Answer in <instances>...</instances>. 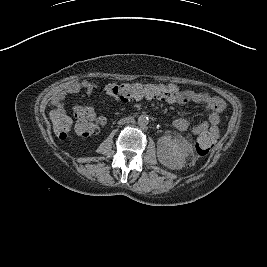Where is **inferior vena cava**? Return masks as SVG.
Instances as JSON below:
<instances>
[{
    "label": "inferior vena cava",
    "mask_w": 267,
    "mask_h": 267,
    "mask_svg": "<svg viewBox=\"0 0 267 267\" xmlns=\"http://www.w3.org/2000/svg\"><path fill=\"white\" fill-rule=\"evenodd\" d=\"M133 122V119L132 118H122L118 121V124L119 125H123V124H126V123H131Z\"/></svg>",
    "instance_id": "obj_1"
}]
</instances>
